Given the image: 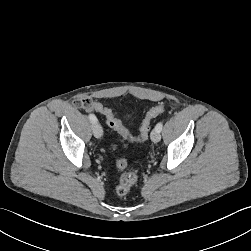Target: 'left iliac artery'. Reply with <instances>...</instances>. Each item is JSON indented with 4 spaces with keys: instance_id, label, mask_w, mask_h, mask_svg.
<instances>
[{
    "instance_id": "1",
    "label": "left iliac artery",
    "mask_w": 251,
    "mask_h": 251,
    "mask_svg": "<svg viewBox=\"0 0 251 251\" xmlns=\"http://www.w3.org/2000/svg\"><path fill=\"white\" fill-rule=\"evenodd\" d=\"M162 128H163V123H162V122H159V123L156 125V127H155V129L158 130V131H161Z\"/></svg>"
}]
</instances>
